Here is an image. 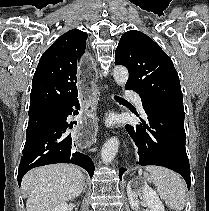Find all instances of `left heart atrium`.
Returning <instances> with one entry per match:
<instances>
[{"instance_id": "left-heart-atrium-1", "label": "left heart atrium", "mask_w": 209, "mask_h": 211, "mask_svg": "<svg viewBox=\"0 0 209 211\" xmlns=\"http://www.w3.org/2000/svg\"><path fill=\"white\" fill-rule=\"evenodd\" d=\"M113 122H114V118L113 117H109L108 119H107V123L108 124H113Z\"/></svg>"}]
</instances>
